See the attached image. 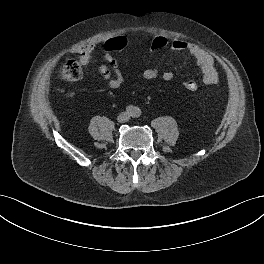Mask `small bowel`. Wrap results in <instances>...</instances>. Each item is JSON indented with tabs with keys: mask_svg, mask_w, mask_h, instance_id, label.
Returning <instances> with one entry per match:
<instances>
[{
	"mask_svg": "<svg viewBox=\"0 0 264 264\" xmlns=\"http://www.w3.org/2000/svg\"><path fill=\"white\" fill-rule=\"evenodd\" d=\"M95 48L96 45L94 43H88L74 50V53L78 56L79 61L83 66L98 64L97 59L93 56ZM170 50L172 52L186 53L196 62L202 73L200 82L203 85L212 86L218 82V72L215 68L212 57L207 52L196 45L181 39L173 40L170 43ZM102 55L106 64L98 65L99 74L101 78L107 82L109 88L118 89L124 83L125 75L119 68L118 63L112 56L111 52H108L104 48ZM142 77L146 80H154L161 77L165 81H171L174 79V73L170 70L161 73L158 69L148 68L142 72Z\"/></svg>",
	"mask_w": 264,
	"mask_h": 264,
	"instance_id": "1",
	"label": "small bowel"
}]
</instances>
